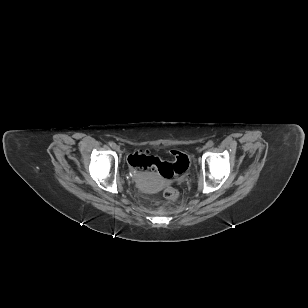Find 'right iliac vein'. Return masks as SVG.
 I'll list each match as a JSON object with an SVG mask.
<instances>
[{
	"instance_id": "obj_1",
	"label": "right iliac vein",
	"mask_w": 308,
	"mask_h": 308,
	"mask_svg": "<svg viewBox=\"0 0 308 308\" xmlns=\"http://www.w3.org/2000/svg\"><path fill=\"white\" fill-rule=\"evenodd\" d=\"M113 149H115L116 151H120V148H119V146L118 145H115L114 147H113Z\"/></svg>"
}]
</instances>
